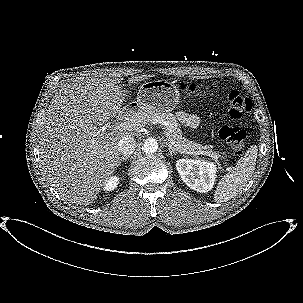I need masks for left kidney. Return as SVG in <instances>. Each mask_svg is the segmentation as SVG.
<instances>
[{
	"label": "left kidney",
	"mask_w": 303,
	"mask_h": 303,
	"mask_svg": "<svg viewBox=\"0 0 303 303\" xmlns=\"http://www.w3.org/2000/svg\"><path fill=\"white\" fill-rule=\"evenodd\" d=\"M176 168L183 182L191 189L206 193L213 188L216 179V167L213 163L179 159L176 161Z\"/></svg>",
	"instance_id": "5707ae66"
}]
</instances>
